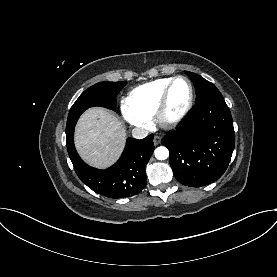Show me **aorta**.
Returning <instances> with one entry per match:
<instances>
[{"instance_id":"1","label":"aorta","mask_w":277,"mask_h":277,"mask_svg":"<svg viewBox=\"0 0 277 277\" xmlns=\"http://www.w3.org/2000/svg\"><path fill=\"white\" fill-rule=\"evenodd\" d=\"M154 153H155V157L158 160H165L169 157V151L164 146H160V147L156 148Z\"/></svg>"}]
</instances>
